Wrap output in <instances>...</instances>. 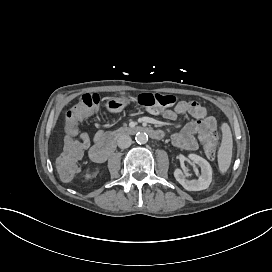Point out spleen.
<instances>
[{"mask_svg": "<svg viewBox=\"0 0 272 272\" xmlns=\"http://www.w3.org/2000/svg\"><path fill=\"white\" fill-rule=\"evenodd\" d=\"M223 130V141L219 151L218 160L220 170L222 172L226 171L231 162L232 156V136L230 128L227 124H224L222 127Z\"/></svg>", "mask_w": 272, "mask_h": 272, "instance_id": "1", "label": "spleen"}]
</instances>
